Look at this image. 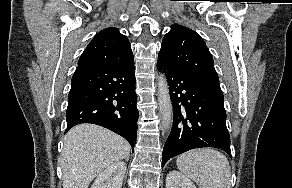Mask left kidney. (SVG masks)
<instances>
[{
	"label": "left kidney",
	"mask_w": 292,
	"mask_h": 188,
	"mask_svg": "<svg viewBox=\"0 0 292 188\" xmlns=\"http://www.w3.org/2000/svg\"><path fill=\"white\" fill-rule=\"evenodd\" d=\"M166 188H196V186L186 176L173 170L166 177Z\"/></svg>",
	"instance_id": "1"
}]
</instances>
